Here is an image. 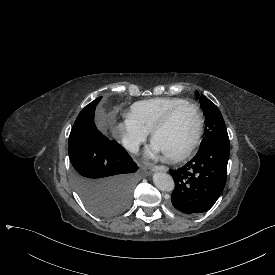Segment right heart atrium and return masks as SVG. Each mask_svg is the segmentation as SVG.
Here are the masks:
<instances>
[{"label":"right heart atrium","mask_w":275,"mask_h":275,"mask_svg":"<svg viewBox=\"0 0 275 275\" xmlns=\"http://www.w3.org/2000/svg\"><path fill=\"white\" fill-rule=\"evenodd\" d=\"M114 134L121 140L124 147L136 153L147 137V132L129 118L115 122Z\"/></svg>","instance_id":"obj_1"}]
</instances>
